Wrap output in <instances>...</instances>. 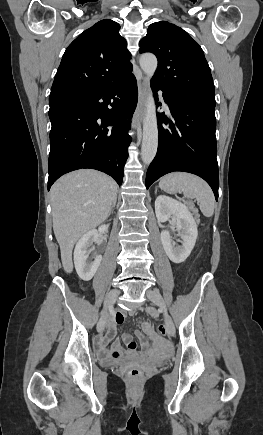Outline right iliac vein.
<instances>
[{
  "label": "right iliac vein",
  "mask_w": 263,
  "mask_h": 435,
  "mask_svg": "<svg viewBox=\"0 0 263 435\" xmlns=\"http://www.w3.org/2000/svg\"><path fill=\"white\" fill-rule=\"evenodd\" d=\"M119 294H120V292L118 290H112L107 295L105 302H104V308L106 311L113 306V304L117 300ZM106 319H107V313H104L97 324V331L98 332H102L104 330L105 324H106Z\"/></svg>",
  "instance_id": "obj_1"
}]
</instances>
